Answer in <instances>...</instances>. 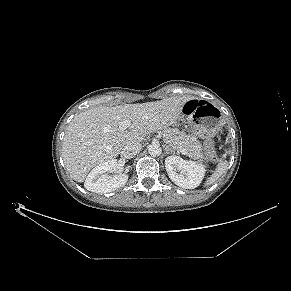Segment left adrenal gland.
Masks as SVG:
<instances>
[{
    "mask_svg": "<svg viewBox=\"0 0 291 291\" xmlns=\"http://www.w3.org/2000/svg\"><path fill=\"white\" fill-rule=\"evenodd\" d=\"M164 149H165L166 154H169V153H173V154H175V151H173V150H172L171 148H169L168 146H165Z\"/></svg>",
    "mask_w": 291,
    "mask_h": 291,
    "instance_id": "obj_1",
    "label": "left adrenal gland"
}]
</instances>
